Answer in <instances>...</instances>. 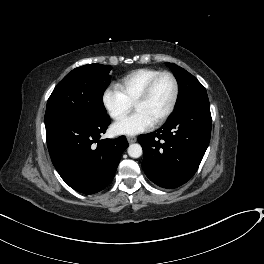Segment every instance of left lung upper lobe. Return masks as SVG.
Returning a JSON list of instances; mask_svg holds the SVG:
<instances>
[{
    "label": "left lung upper lobe",
    "instance_id": "left-lung-upper-lobe-1",
    "mask_svg": "<svg viewBox=\"0 0 264 264\" xmlns=\"http://www.w3.org/2000/svg\"><path fill=\"white\" fill-rule=\"evenodd\" d=\"M167 65L170 66L179 88L172 116L193 102L208 100L205 87L193 75L173 63H167Z\"/></svg>",
    "mask_w": 264,
    "mask_h": 264
}]
</instances>
